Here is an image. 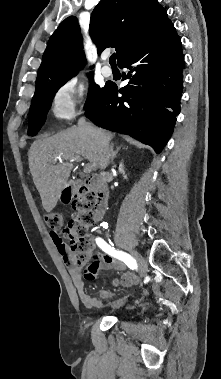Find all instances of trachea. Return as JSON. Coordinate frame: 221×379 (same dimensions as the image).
Segmentation results:
<instances>
[{
	"mask_svg": "<svg viewBox=\"0 0 221 379\" xmlns=\"http://www.w3.org/2000/svg\"><path fill=\"white\" fill-rule=\"evenodd\" d=\"M109 62L111 65H116V58H115V54H112L110 59H109Z\"/></svg>",
	"mask_w": 221,
	"mask_h": 379,
	"instance_id": "trachea-1",
	"label": "trachea"
}]
</instances>
